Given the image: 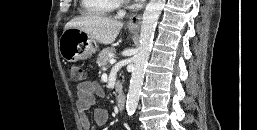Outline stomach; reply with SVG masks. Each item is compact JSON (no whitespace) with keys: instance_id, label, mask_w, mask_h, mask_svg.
<instances>
[{"instance_id":"1","label":"stomach","mask_w":257,"mask_h":130,"mask_svg":"<svg viewBox=\"0 0 257 130\" xmlns=\"http://www.w3.org/2000/svg\"><path fill=\"white\" fill-rule=\"evenodd\" d=\"M130 32L135 29L129 28ZM96 51V42L77 28L65 29L59 40V52L68 62L89 58Z\"/></svg>"}]
</instances>
